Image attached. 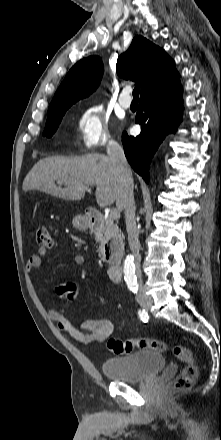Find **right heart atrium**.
Listing matches in <instances>:
<instances>
[{"label": "right heart atrium", "instance_id": "d8ad5b80", "mask_svg": "<svg viewBox=\"0 0 221 440\" xmlns=\"http://www.w3.org/2000/svg\"><path fill=\"white\" fill-rule=\"evenodd\" d=\"M77 132L81 146L86 150H96L110 146V119L98 106L85 108L77 118Z\"/></svg>", "mask_w": 221, "mask_h": 440}]
</instances>
